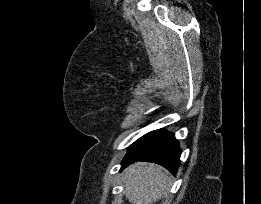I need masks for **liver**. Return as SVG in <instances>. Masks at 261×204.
<instances>
[{"label": "liver", "instance_id": "6515ba94", "mask_svg": "<svg viewBox=\"0 0 261 204\" xmlns=\"http://www.w3.org/2000/svg\"><path fill=\"white\" fill-rule=\"evenodd\" d=\"M126 198L131 204H155L167 194L169 177L161 166L135 163L124 171Z\"/></svg>", "mask_w": 261, "mask_h": 204}]
</instances>
